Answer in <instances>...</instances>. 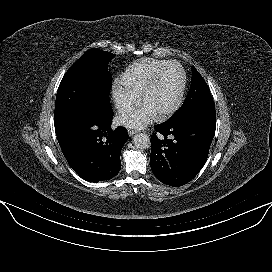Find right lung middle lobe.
Segmentation results:
<instances>
[{
  "label": "right lung middle lobe",
  "mask_w": 272,
  "mask_h": 272,
  "mask_svg": "<svg viewBox=\"0 0 272 272\" xmlns=\"http://www.w3.org/2000/svg\"><path fill=\"white\" fill-rule=\"evenodd\" d=\"M113 57L110 52L92 48L68 69L56 96V132L81 112L95 111L101 115L112 112L109 101L112 77L108 63Z\"/></svg>",
  "instance_id": "obj_1"
}]
</instances>
